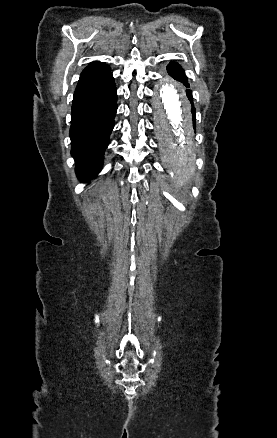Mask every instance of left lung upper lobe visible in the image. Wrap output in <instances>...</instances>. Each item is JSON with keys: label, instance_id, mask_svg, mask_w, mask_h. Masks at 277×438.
<instances>
[{"label": "left lung upper lobe", "instance_id": "5c2ea615", "mask_svg": "<svg viewBox=\"0 0 277 438\" xmlns=\"http://www.w3.org/2000/svg\"><path fill=\"white\" fill-rule=\"evenodd\" d=\"M167 71L169 75H171L176 80L182 82L186 87H189L187 76L185 75V71L180 67V65L176 62H170L167 66ZM187 95L190 100H192V92L187 90Z\"/></svg>", "mask_w": 277, "mask_h": 438}]
</instances>
